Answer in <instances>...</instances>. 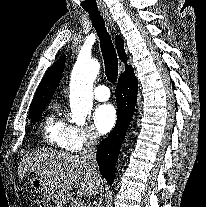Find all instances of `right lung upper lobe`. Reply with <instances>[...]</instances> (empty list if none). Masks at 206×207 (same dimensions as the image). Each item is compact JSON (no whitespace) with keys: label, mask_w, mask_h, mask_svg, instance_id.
<instances>
[{"label":"right lung upper lobe","mask_w":206,"mask_h":207,"mask_svg":"<svg viewBox=\"0 0 206 207\" xmlns=\"http://www.w3.org/2000/svg\"><path fill=\"white\" fill-rule=\"evenodd\" d=\"M116 48L119 54V58L121 59V61H124V63H126L127 57L124 50V42L119 36H116ZM65 59V55L61 56L58 61L47 70L45 76L43 77L37 88L35 96L30 105V109L47 104L52 99L53 94L61 79ZM129 68H131V66L126 65L125 71Z\"/></svg>","instance_id":"1"}]
</instances>
